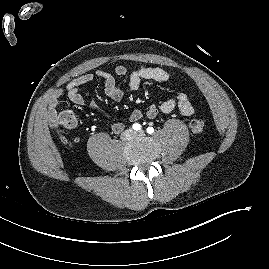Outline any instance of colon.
Masks as SVG:
<instances>
[{
  "instance_id": "colon-1",
  "label": "colon",
  "mask_w": 269,
  "mask_h": 269,
  "mask_svg": "<svg viewBox=\"0 0 269 269\" xmlns=\"http://www.w3.org/2000/svg\"><path fill=\"white\" fill-rule=\"evenodd\" d=\"M57 123L62 127L72 128L75 125V118L72 113L65 112L59 117V119H57ZM190 128L194 134L200 135L204 132L205 122L200 118L192 119L190 122Z\"/></svg>"
}]
</instances>
